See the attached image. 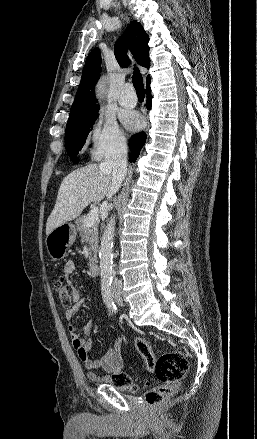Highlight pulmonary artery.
Returning a JSON list of instances; mask_svg holds the SVG:
<instances>
[{"label":"pulmonary artery","mask_w":257,"mask_h":439,"mask_svg":"<svg viewBox=\"0 0 257 439\" xmlns=\"http://www.w3.org/2000/svg\"><path fill=\"white\" fill-rule=\"evenodd\" d=\"M118 102L120 105L132 108L137 103V97L133 91V87L130 84L125 85L118 98Z\"/></svg>","instance_id":"1"}]
</instances>
